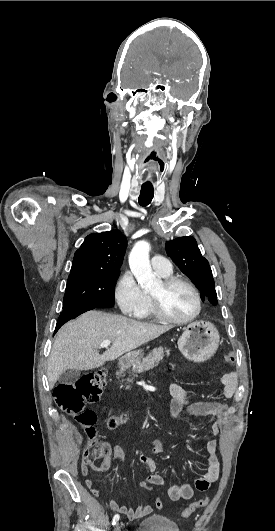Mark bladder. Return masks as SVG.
I'll return each instance as SVG.
<instances>
[{"label": "bladder", "instance_id": "bladder-1", "mask_svg": "<svg viewBox=\"0 0 275 531\" xmlns=\"http://www.w3.org/2000/svg\"><path fill=\"white\" fill-rule=\"evenodd\" d=\"M136 531H179L178 523L162 513H154L142 519Z\"/></svg>", "mask_w": 275, "mask_h": 531}]
</instances>
